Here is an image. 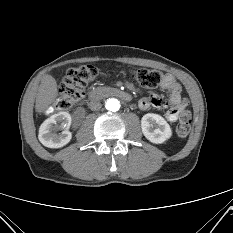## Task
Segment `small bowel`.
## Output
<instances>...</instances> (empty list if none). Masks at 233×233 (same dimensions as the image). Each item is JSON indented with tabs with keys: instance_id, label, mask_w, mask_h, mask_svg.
<instances>
[{
	"instance_id": "c3829d8e",
	"label": "small bowel",
	"mask_w": 233,
	"mask_h": 233,
	"mask_svg": "<svg viewBox=\"0 0 233 233\" xmlns=\"http://www.w3.org/2000/svg\"><path fill=\"white\" fill-rule=\"evenodd\" d=\"M161 88L168 93V98L163 99L157 94H152L149 97H144L139 101V107L146 110L150 107L167 109L165 118L169 122H175L179 119L181 113L186 107V101L182 97V88L176 81V78L171 74H166L163 77Z\"/></svg>"
}]
</instances>
